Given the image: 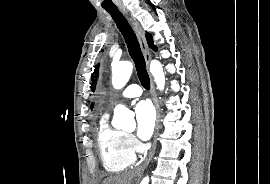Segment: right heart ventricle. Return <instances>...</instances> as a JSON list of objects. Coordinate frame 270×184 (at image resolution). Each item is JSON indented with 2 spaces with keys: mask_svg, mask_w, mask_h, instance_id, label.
Returning <instances> with one entry per match:
<instances>
[{
  "mask_svg": "<svg viewBox=\"0 0 270 184\" xmlns=\"http://www.w3.org/2000/svg\"><path fill=\"white\" fill-rule=\"evenodd\" d=\"M97 144L102 164L109 172H120L135 162V150L129 145L127 135L110 126L107 114L99 120Z\"/></svg>",
  "mask_w": 270,
  "mask_h": 184,
  "instance_id": "right-heart-ventricle-1",
  "label": "right heart ventricle"
}]
</instances>
